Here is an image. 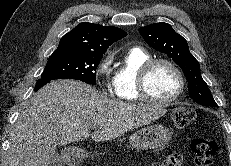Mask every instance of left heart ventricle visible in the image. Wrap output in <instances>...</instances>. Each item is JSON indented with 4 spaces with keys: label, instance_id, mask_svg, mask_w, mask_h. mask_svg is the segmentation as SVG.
Wrapping results in <instances>:
<instances>
[{
    "label": "left heart ventricle",
    "instance_id": "b2bd125f",
    "mask_svg": "<svg viewBox=\"0 0 231 166\" xmlns=\"http://www.w3.org/2000/svg\"><path fill=\"white\" fill-rule=\"evenodd\" d=\"M147 87L154 98L167 99L177 90L178 79L169 66L158 64L148 75Z\"/></svg>",
    "mask_w": 231,
    "mask_h": 166
}]
</instances>
